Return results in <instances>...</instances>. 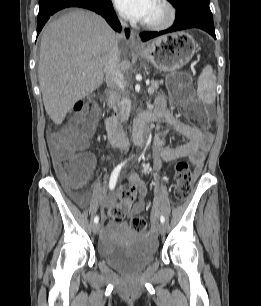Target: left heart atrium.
Instances as JSON below:
<instances>
[{
    "label": "left heart atrium",
    "mask_w": 261,
    "mask_h": 306,
    "mask_svg": "<svg viewBox=\"0 0 261 306\" xmlns=\"http://www.w3.org/2000/svg\"><path fill=\"white\" fill-rule=\"evenodd\" d=\"M119 13L132 21H144L154 0H114Z\"/></svg>",
    "instance_id": "39dd6f15"
}]
</instances>
